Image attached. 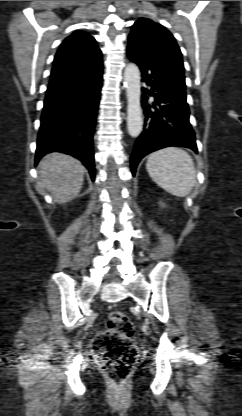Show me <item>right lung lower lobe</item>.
Segmentation results:
<instances>
[{"mask_svg": "<svg viewBox=\"0 0 242 416\" xmlns=\"http://www.w3.org/2000/svg\"><path fill=\"white\" fill-rule=\"evenodd\" d=\"M101 87L102 70L48 87L38 133L36 165L49 152L66 153L81 160L94 181L93 131Z\"/></svg>", "mask_w": 242, "mask_h": 416, "instance_id": "right-lung-lower-lobe-1", "label": "right lung lower lobe"}]
</instances>
